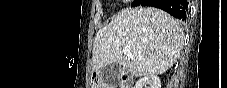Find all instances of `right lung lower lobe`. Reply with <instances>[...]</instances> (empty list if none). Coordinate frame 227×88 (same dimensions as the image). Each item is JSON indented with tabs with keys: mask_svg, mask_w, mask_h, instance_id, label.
I'll list each match as a JSON object with an SVG mask.
<instances>
[{
	"mask_svg": "<svg viewBox=\"0 0 227 88\" xmlns=\"http://www.w3.org/2000/svg\"><path fill=\"white\" fill-rule=\"evenodd\" d=\"M138 5L160 8L184 21L188 17V0H141Z\"/></svg>",
	"mask_w": 227,
	"mask_h": 88,
	"instance_id": "obj_1",
	"label": "right lung lower lobe"
}]
</instances>
